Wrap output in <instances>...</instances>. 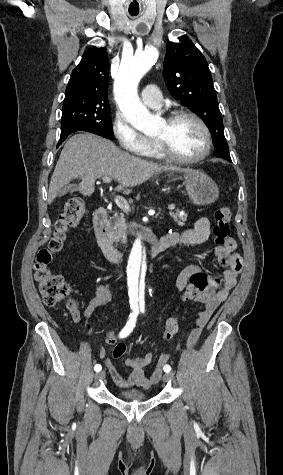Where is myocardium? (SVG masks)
I'll use <instances>...</instances> for the list:
<instances>
[{
  "label": "myocardium",
  "instance_id": "obj_1",
  "mask_svg": "<svg viewBox=\"0 0 283 475\" xmlns=\"http://www.w3.org/2000/svg\"><path fill=\"white\" fill-rule=\"evenodd\" d=\"M182 117L192 118L201 126V128L204 131V135H205L204 145H203L202 150L198 154L191 157H187V158L176 157L168 151L165 141H163L162 139L154 138V142L156 143V148H157L160 158L164 160L165 162L170 163V164L171 162H192V164H195L202 161L209 155L212 148L211 132H210L209 127L205 123V121L199 115L191 111H186V110L172 111L167 115L166 121L169 124H172L174 121Z\"/></svg>",
  "mask_w": 283,
  "mask_h": 475
}]
</instances>
